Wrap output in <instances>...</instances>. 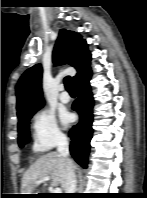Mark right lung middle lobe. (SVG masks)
I'll use <instances>...</instances> for the list:
<instances>
[{"instance_id":"right-lung-middle-lobe-1","label":"right lung middle lobe","mask_w":147,"mask_h":198,"mask_svg":"<svg viewBox=\"0 0 147 198\" xmlns=\"http://www.w3.org/2000/svg\"><path fill=\"white\" fill-rule=\"evenodd\" d=\"M34 114V113H33ZM33 114L25 117L23 120L18 122V144L23 147L29 142V122Z\"/></svg>"}]
</instances>
